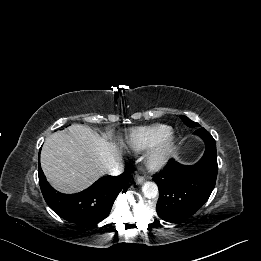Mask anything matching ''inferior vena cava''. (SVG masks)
Segmentation results:
<instances>
[{
    "label": "inferior vena cava",
    "instance_id": "602c4592",
    "mask_svg": "<svg viewBox=\"0 0 261 261\" xmlns=\"http://www.w3.org/2000/svg\"><path fill=\"white\" fill-rule=\"evenodd\" d=\"M124 171V166L122 163H116L109 170L108 174L112 176H118Z\"/></svg>",
    "mask_w": 261,
    "mask_h": 261
}]
</instances>
